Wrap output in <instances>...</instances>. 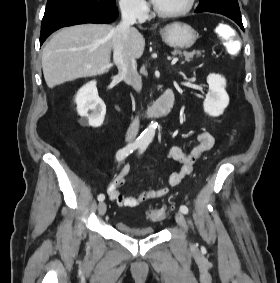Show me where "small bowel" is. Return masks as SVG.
<instances>
[{"mask_svg": "<svg viewBox=\"0 0 280 283\" xmlns=\"http://www.w3.org/2000/svg\"><path fill=\"white\" fill-rule=\"evenodd\" d=\"M215 144V139L208 132H201L197 135L196 141L193 144L189 153H185L178 146H171L168 151V156L171 160L179 162L181 168L179 172H174L169 177L171 186L178 185L181 180L189 176L193 171V166L203 153L211 150ZM130 172V165L125 164L118 175L111 181L107 188L109 198L122 208H136L148 200L158 199L168 193V188H152L141 192L137 196L123 195L119 188L124 184L126 177Z\"/></svg>", "mask_w": 280, "mask_h": 283, "instance_id": "obj_1", "label": "small bowel"}]
</instances>
